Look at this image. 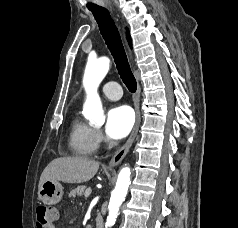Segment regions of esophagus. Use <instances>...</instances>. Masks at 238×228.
Listing matches in <instances>:
<instances>
[{"label": "esophagus", "instance_id": "34e87169", "mask_svg": "<svg viewBox=\"0 0 238 228\" xmlns=\"http://www.w3.org/2000/svg\"><path fill=\"white\" fill-rule=\"evenodd\" d=\"M127 53H128L129 59L132 61V53L129 49L127 50ZM140 93H141V87L138 82L137 90L134 94V106H135V111H136V121H135L134 127H133L132 132H131L128 140L126 141V143L114 154V156L110 160L109 167L117 166L123 160V158L129 151V149L137 135L139 125L141 122V114H140V107H139Z\"/></svg>", "mask_w": 238, "mask_h": 228}]
</instances>
